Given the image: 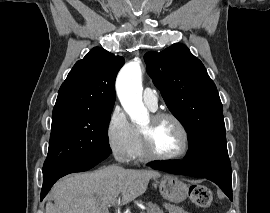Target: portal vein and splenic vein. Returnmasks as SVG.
I'll list each match as a JSON object with an SVG mask.
<instances>
[{
    "mask_svg": "<svg viewBox=\"0 0 270 213\" xmlns=\"http://www.w3.org/2000/svg\"><path fill=\"white\" fill-rule=\"evenodd\" d=\"M117 203H118V201L117 200H114V201L111 202V205L112 206H115ZM111 205H109V206H111Z\"/></svg>",
    "mask_w": 270,
    "mask_h": 213,
    "instance_id": "1",
    "label": "portal vein and splenic vein"
}]
</instances>
